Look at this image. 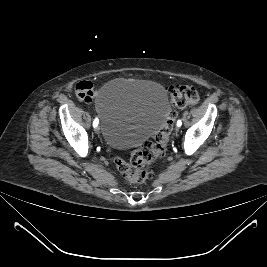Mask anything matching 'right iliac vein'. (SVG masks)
<instances>
[{
  "label": "right iliac vein",
  "mask_w": 267,
  "mask_h": 267,
  "mask_svg": "<svg viewBox=\"0 0 267 267\" xmlns=\"http://www.w3.org/2000/svg\"><path fill=\"white\" fill-rule=\"evenodd\" d=\"M95 133L99 134L100 133V127L99 126H96L95 129H94Z\"/></svg>",
  "instance_id": "obj_1"
}]
</instances>
